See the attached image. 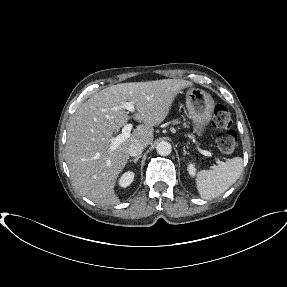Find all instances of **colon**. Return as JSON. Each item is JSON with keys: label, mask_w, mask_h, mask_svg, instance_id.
Returning <instances> with one entry per match:
<instances>
[{"label": "colon", "mask_w": 287, "mask_h": 287, "mask_svg": "<svg viewBox=\"0 0 287 287\" xmlns=\"http://www.w3.org/2000/svg\"><path fill=\"white\" fill-rule=\"evenodd\" d=\"M213 125L218 129L225 130L216 138L218 149L226 155L232 154L237 146V134L231 130L232 117L229 110L223 106H216L213 114Z\"/></svg>", "instance_id": "1"}]
</instances>
